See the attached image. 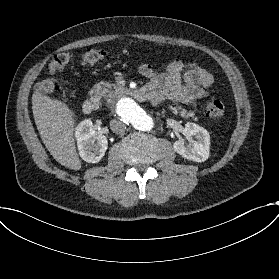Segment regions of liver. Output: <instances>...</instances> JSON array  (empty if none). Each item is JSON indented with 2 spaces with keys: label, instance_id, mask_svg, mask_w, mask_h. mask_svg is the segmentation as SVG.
<instances>
[{
  "label": "liver",
  "instance_id": "1",
  "mask_svg": "<svg viewBox=\"0 0 279 279\" xmlns=\"http://www.w3.org/2000/svg\"><path fill=\"white\" fill-rule=\"evenodd\" d=\"M32 111L40 137L53 158L69 169L79 170L73 112L65 103L39 92L32 95Z\"/></svg>",
  "mask_w": 279,
  "mask_h": 279
}]
</instances>
